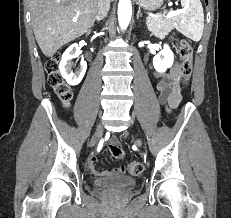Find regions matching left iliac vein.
Wrapping results in <instances>:
<instances>
[{
    "label": "left iliac vein",
    "instance_id": "obj_1",
    "mask_svg": "<svg viewBox=\"0 0 231 218\" xmlns=\"http://www.w3.org/2000/svg\"><path fill=\"white\" fill-rule=\"evenodd\" d=\"M137 145L138 146H141L142 145V142L140 140L137 141Z\"/></svg>",
    "mask_w": 231,
    "mask_h": 218
}]
</instances>
